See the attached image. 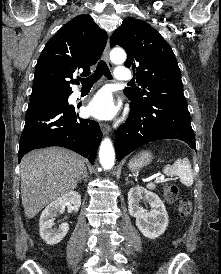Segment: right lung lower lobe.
I'll return each mask as SVG.
<instances>
[{"mask_svg": "<svg viewBox=\"0 0 221 274\" xmlns=\"http://www.w3.org/2000/svg\"><path fill=\"white\" fill-rule=\"evenodd\" d=\"M101 139L99 124L79 118L77 107L67 101L31 107L25 116L18 160L33 149L61 146L87 157L93 164Z\"/></svg>", "mask_w": 221, "mask_h": 274, "instance_id": "obj_1", "label": "right lung lower lobe"}]
</instances>
